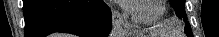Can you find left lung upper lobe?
Listing matches in <instances>:
<instances>
[{
  "label": "left lung upper lobe",
  "instance_id": "left-lung-upper-lobe-1",
  "mask_svg": "<svg viewBox=\"0 0 219 37\" xmlns=\"http://www.w3.org/2000/svg\"><path fill=\"white\" fill-rule=\"evenodd\" d=\"M171 2V5L174 7L176 14L178 17L183 18L186 22L185 26V33L187 36H192V31L190 24L186 21L187 15L185 12V0H169Z\"/></svg>",
  "mask_w": 219,
  "mask_h": 37
}]
</instances>
